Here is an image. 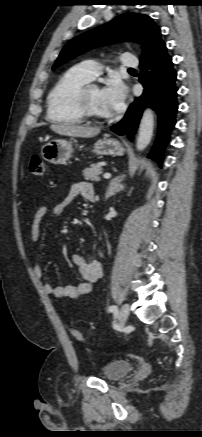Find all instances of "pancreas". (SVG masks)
<instances>
[{"label": "pancreas", "mask_w": 202, "mask_h": 437, "mask_svg": "<svg viewBox=\"0 0 202 437\" xmlns=\"http://www.w3.org/2000/svg\"><path fill=\"white\" fill-rule=\"evenodd\" d=\"M102 167L100 163L97 164H91L89 168H85L83 170V176L85 180H91V181H99L100 180V174H102Z\"/></svg>", "instance_id": "obj_1"}]
</instances>
